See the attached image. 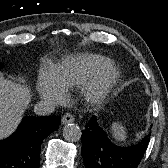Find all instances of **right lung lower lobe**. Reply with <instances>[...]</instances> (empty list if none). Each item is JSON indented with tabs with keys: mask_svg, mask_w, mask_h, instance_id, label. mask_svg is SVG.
<instances>
[{
	"mask_svg": "<svg viewBox=\"0 0 168 168\" xmlns=\"http://www.w3.org/2000/svg\"><path fill=\"white\" fill-rule=\"evenodd\" d=\"M60 117H24L16 132L0 140V168H38L43 139L54 132Z\"/></svg>",
	"mask_w": 168,
	"mask_h": 168,
	"instance_id": "obj_1",
	"label": "right lung lower lobe"
}]
</instances>
